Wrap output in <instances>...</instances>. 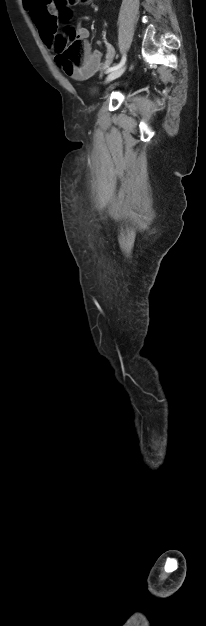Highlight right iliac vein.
<instances>
[{"label":"right iliac vein","mask_w":206,"mask_h":626,"mask_svg":"<svg viewBox=\"0 0 206 626\" xmlns=\"http://www.w3.org/2000/svg\"><path fill=\"white\" fill-rule=\"evenodd\" d=\"M125 71V67L119 68L117 70L112 71L110 74H108V76L106 77V82H111L117 78H119Z\"/></svg>","instance_id":"right-iliac-vein-1"}]
</instances>
